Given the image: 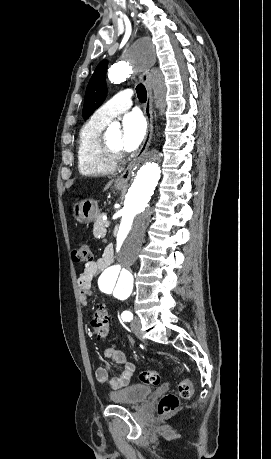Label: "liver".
<instances>
[{
	"label": "liver",
	"mask_w": 271,
	"mask_h": 459,
	"mask_svg": "<svg viewBox=\"0 0 271 459\" xmlns=\"http://www.w3.org/2000/svg\"><path fill=\"white\" fill-rule=\"evenodd\" d=\"M113 184V180H111V182H108V184H106L105 188H104V192L105 190H108V188H110V186H112Z\"/></svg>",
	"instance_id": "1"
}]
</instances>
